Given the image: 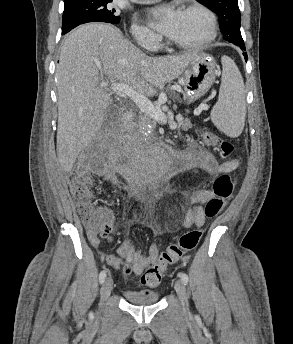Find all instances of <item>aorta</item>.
Returning <instances> with one entry per match:
<instances>
[{"instance_id": "obj_1", "label": "aorta", "mask_w": 293, "mask_h": 344, "mask_svg": "<svg viewBox=\"0 0 293 344\" xmlns=\"http://www.w3.org/2000/svg\"><path fill=\"white\" fill-rule=\"evenodd\" d=\"M168 155L164 151L155 154L151 160L152 170L155 172L163 171L167 168Z\"/></svg>"}]
</instances>
